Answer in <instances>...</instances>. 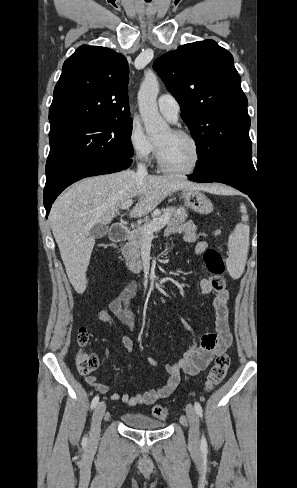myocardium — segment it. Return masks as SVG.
Wrapping results in <instances>:
<instances>
[{"label": "myocardium", "instance_id": "obj_1", "mask_svg": "<svg viewBox=\"0 0 297 488\" xmlns=\"http://www.w3.org/2000/svg\"><path fill=\"white\" fill-rule=\"evenodd\" d=\"M171 131L174 135L187 138L192 143L194 150H195L194 162L187 169L179 170V169L171 168L164 162L163 157H162L161 148L157 144V148H156L157 164H158L159 168L165 173L173 174V175H180V176L190 175V174L194 173L199 168L201 161H202V149L200 147V144H199L198 140L195 138V136L186 130L172 129Z\"/></svg>", "mask_w": 297, "mask_h": 488}]
</instances>
